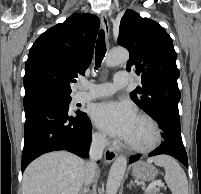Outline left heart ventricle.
Segmentation results:
<instances>
[{"instance_id":"1","label":"left heart ventricle","mask_w":201,"mask_h":194,"mask_svg":"<svg viewBox=\"0 0 201 194\" xmlns=\"http://www.w3.org/2000/svg\"><path fill=\"white\" fill-rule=\"evenodd\" d=\"M152 139L153 132L150 126L146 122L137 118L128 142L137 145H147L152 141Z\"/></svg>"}]
</instances>
